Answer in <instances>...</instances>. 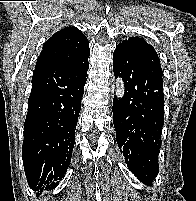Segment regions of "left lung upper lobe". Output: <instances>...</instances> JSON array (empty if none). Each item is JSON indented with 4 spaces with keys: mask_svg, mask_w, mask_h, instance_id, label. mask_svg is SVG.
<instances>
[{
    "mask_svg": "<svg viewBox=\"0 0 196 201\" xmlns=\"http://www.w3.org/2000/svg\"><path fill=\"white\" fill-rule=\"evenodd\" d=\"M122 44L129 46L141 57L154 61L160 65V60L153 46L145 42L144 39L140 37H130L129 39L123 40Z\"/></svg>",
    "mask_w": 196,
    "mask_h": 201,
    "instance_id": "5c2ea615",
    "label": "left lung upper lobe"
}]
</instances>
